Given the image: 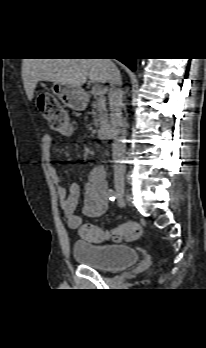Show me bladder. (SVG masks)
<instances>
[{
    "label": "bladder",
    "mask_w": 206,
    "mask_h": 348,
    "mask_svg": "<svg viewBox=\"0 0 206 348\" xmlns=\"http://www.w3.org/2000/svg\"><path fill=\"white\" fill-rule=\"evenodd\" d=\"M75 260L83 266L101 271H113L136 263L138 252L123 244H95L87 241H76L72 245Z\"/></svg>",
    "instance_id": "obj_1"
}]
</instances>
